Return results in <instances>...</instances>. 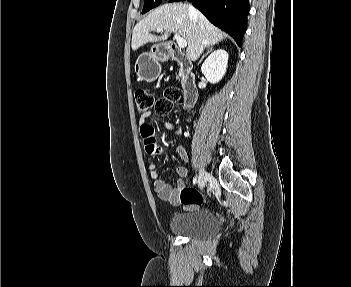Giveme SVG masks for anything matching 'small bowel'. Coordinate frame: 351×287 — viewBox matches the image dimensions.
Returning a JSON list of instances; mask_svg holds the SVG:
<instances>
[{"label": "small bowel", "instance_id": "c3829d8e", "mask_svg": "<svg viewBox=\"0 0 351 287\" xmlns=\"http://www.w3.org/2000/svg\"><path fill=\"white\" fill-rule=\"evenodd\" d=\"M152 113L150 111L145 112L139 116L138 123L140 125V133L143 142V152L146 156H156L157 149H162V143L157 142L156 132H154L153 122H147L151 117ZM164 128L167 130H172L176 134H181V128L178 124L165 121L163 123ZM177 154L183 161L188 160V154L183 145H179L176 148ZM162 153V151H160ZM148 170L152 179H154V189L158 196L162 200L171 202L173 205L180 204L179 193L186 185V181L189 175V170L185 166H179L177 168V174L179 178L176 181V186L172 187L164 180L159 178L157 165L155 162H150L148 165Z\"/></svg>", "mask_w": 351, "mask_h": 287}]
</instances>
